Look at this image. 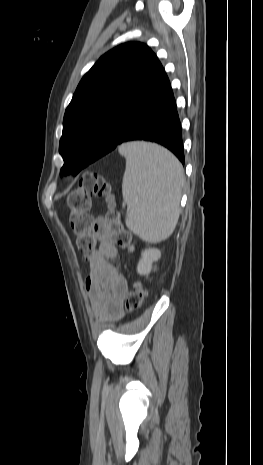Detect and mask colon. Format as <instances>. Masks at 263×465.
Wrapping results in <instances>:
<instances>
[{"mask_svg": "<svg viewBox=\"0 0 263 465\" xmlns=\"http://www.w3.org/2000/svg\"><path fill=\"white\" fill-rule=\"evenodd\" d=\"M94 197H105L110 210L104 218H94L90 213L91 200ZM70 209L69 226L76 236V245L80 252L89 255L96 247V231L103 226L107 229L112 242L126 251L134 249L131 234L122 225L118 214L114 210V197L111 185L106 178L96 172L85 173L78 184L67 197ZM146 290L141 283H135L127 294L125 308L133 312L141 307Z\"/></svg>", "mask_w": 263, "mask_h": 465, "instance_id": "5ec220e1", "label": "colon"}]
</instances>
